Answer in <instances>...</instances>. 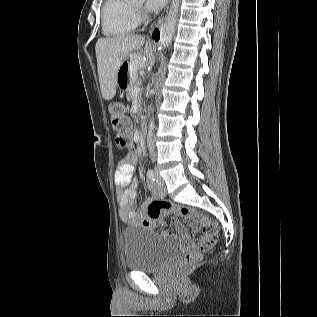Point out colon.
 Wrapping results in <instances>:
<instances>
[{"label":"colon","mask_w":317,"mask_h":317,"mask_svg":"<svg viewBox=\"0 0 317 317\" xmlns=\"http://www.w3.org/2000/svg\"><path fill=\"white\" fill-rule=\"evenodd\" d=\"M109 116L117 146L121 149H130L133 145L132 127L124 105L120 102L112 103L109 106ZM147 213L154 220L160 219L165 213L176 214L189 220L195 215L191 209L166 200L150 202ZM196 216L205 220L206 225L202 235L198 239L189 242L188 249L177 262L176 267L180 271L187 270L197 264L203 254L209 251L218 241V232L214 223L203 215L196 214Z\"/></svg>","instance_id":"colon-1"}]
</instances>
